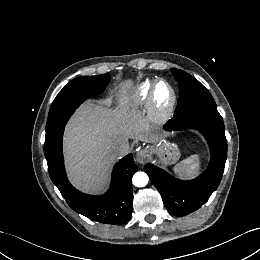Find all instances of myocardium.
Returning a JSON list of instances; mask_svg holds the SVG:
<instances>
[{
	"instance_id": "myocardium-1",
	"label": "myocardium",
	"mask_w": 260,
	"mask_h": 260,
	"mask_svg": "<svg viewBox=\"0 0 260 260\" xmlns=\"http://www.w3.org/2000/svg\"><path fill=\"white\" fill-rule=\"evenodd\" d=\"M163 83L171 92V101L166 108H161L156 100L157 88ZM177 105V94L171 83L165 79H157L154 81L148 97V117L155 124H164L169 121L174 114Z\"/></svg>"
}]
</instances>
